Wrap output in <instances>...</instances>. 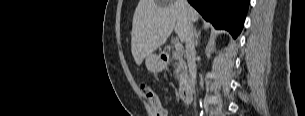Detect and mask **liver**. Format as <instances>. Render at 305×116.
Here are the masks:
<instances>
[{"label":"liver","instance_id":"obj_1","mask_svg":"<svg viewBox=\"0 0 305 116\" xmlns=\"http://www.w3.org/2000/svg\"><path fill=\"white\" fill-rule=\"evenodd\" d=\"M199 19L198 12L184 0H140L131 32V51L140 66L143 60L165 44L175 30L181 42L186 39L187 21Z\"/></svg>","mask_w":305,"mask_h":116}]
</instances>
